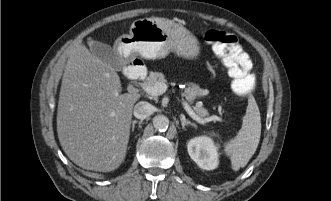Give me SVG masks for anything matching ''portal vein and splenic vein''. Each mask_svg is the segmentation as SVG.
Here are the masks:
<instances>
[{
	"label": "portal vein and splenic vein",
	"mask_w": 331,
	"mask_h": 201,
	"mask_svg": "<svg viewBox=\"0 0 331 201\" xmlns=\"http://www.w3.org/2000/svg\"><path fill=\"white\" fill-rule=\"evenodd\" d=\"M142 88L145 92H147L148 94L152 95V96H158V95H162L163 93L166 92L168 86L166 83L163 82H157L154 86H145L142 84ZM182 105L184 107V109L186 110V112L188 113V115L195 120L196 122H198L199 124H206L208 121H216V120H220L219 117L217 116H212L206 119L201 118L199 115H197L193 109L191 108V106L185 101H182Z\"/></svg>",
	"instance_id": "portal-vein-and-splenic-vein-1"
}]
</instances>
